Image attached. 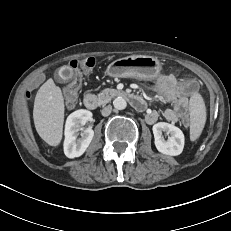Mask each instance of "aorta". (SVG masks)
Returning a JSON list of instances; mask_svg holds the SVG:
<instances>
[{"instance_id": "obj_1", "label": "aorta", "mask_w": 231, "mask_h": 231, "mask_svg": "<svg viewBox=\"0 0 231 231\" xmlns=\"http://www.w3.org/2000/svg\"><path fill=\"white\" fill-rule=\"evenodd\" d=\"M113 106L117 110H123L127 107V102L124 98L122 97H117L113 101Z\"/></svg>"}]
</instances>
